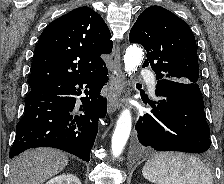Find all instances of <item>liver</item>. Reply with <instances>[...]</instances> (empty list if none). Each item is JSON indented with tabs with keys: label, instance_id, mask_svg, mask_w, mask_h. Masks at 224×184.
Returning a JSON list of instances; mask_svg holds the SVG:
<instances>
[{
	"label": "liver",
	"instance_id": "1",
	"mask_svg": "<svg viewBox=\"0 0 224 184\" xmlns=\"http://www.w3.org/2000/svg\"><path fill=\"white\" fill-rule=\"evenodd\" d=\"M68 164L66 153L52 148H36L12 160L10 184H43Z\"/></svg>",
	"mask_w": 224,
	"mask_h": 184
}]
</instances>
